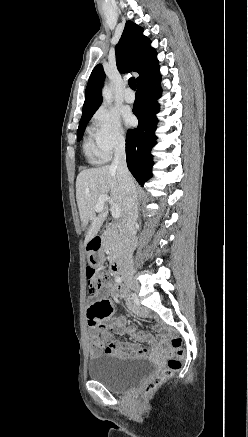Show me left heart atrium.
I'll use <instances>...</instances> for the list:
<instances>
[{"mask_svg":"<svg viewBox=\"0 0 248 437\" xmlns=\"http://www.w3.org/2000/svg\"><path fill=\"white\" fill-rule=\"evenodd\" d=\"M123 118L127 126H132L135 123V118L129 111L124 112Z\"/></svg>","mask_w":248,"mask_h":437,"instance_id":"1","label":"left heart atrium"}]
</instances>
